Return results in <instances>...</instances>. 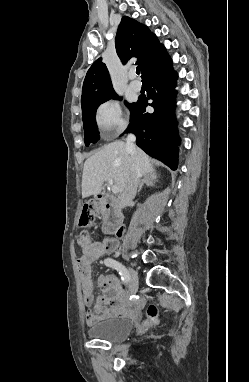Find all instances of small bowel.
I'll return each mask as SVG.
<instances>
[{"mask_svg":"<svg viewBox=\"0 0 249 382\" xmlns=\"http://www.w3.org/2000/svg\"><path fill=\"white\" fill-rule=\"evenodd\" d=\"M119 249V242L115 239L93 241L82 248V255L77 259L83 300L87 307H92L95 301L94 283L91 265L106 253H115ZM97 284L103 292L93 309L86 312V323L93 325L100 319L111 317L132 316L141 308L139 300L128 299L122 290L118 277L114 274H101Z\"/></svg>","mask_w":249,"mask_h":382,"instance_id":"small-bowel-1","label":"small bowel"}]
</instances>
